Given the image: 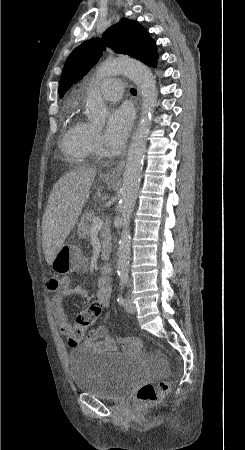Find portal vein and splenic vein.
I'll use <instances>...</instances> for the list:
<instances>
[{"instance_id": "18ae733b", "label": "portal vein and splenic vein", "mask_w": 245, "mask_h": 450, "mask_svg": "<svg viewBox=\"0 0 245 450\" xmlns=\"http://www.w3.org/2000/svg\"><path fill=\"white\" fill-rule=\"evenodd\" d=\"M103 227V220L99 217H95L92 222L91 231L100 230Z\"/></svg>"}]
</instances>
